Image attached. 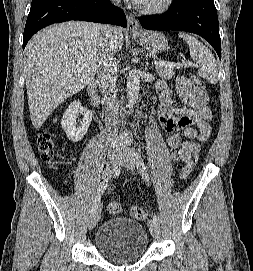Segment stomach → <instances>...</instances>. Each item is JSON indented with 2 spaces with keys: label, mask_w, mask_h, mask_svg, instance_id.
I'll use <instances>...</instances> for the list:
<instances>
[{
  "label": "stomach",
  "mask_w": 253,
  "mask_h": 271,
  "mask_svg": "<svg viewBox=\"0 0 253 271\" xmlns=\"http://www.w3.org/2000/svg\"><path fill=\"white\" fill-rule=\"evenodd\" d=\"M132 36L148 51L154 53L162 52L168 47L166 37L160 32L144 31L141 34H132Z\"/></svg>",
  "instance_id": "0dacf381"
}]
</instances>
